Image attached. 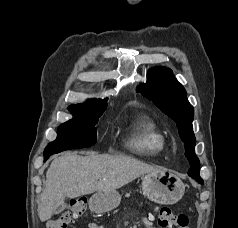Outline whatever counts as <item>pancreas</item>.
I'll return each instance as SVG.
<instances>
[{"mask_svg":"<svg viewBox=\"0 0 238 228\" xmlns=\"http://www.w3.org/2000/svg\"><path fill=\"white\" fill-rule=\"evenodd\" d=\"M130 195V193H127V196H129Z\"/></svg>","mask_w":238,"mask_h":228,"instance_id":"pancreas-1","label":"pancreas"}]
</instances>
